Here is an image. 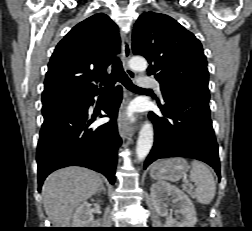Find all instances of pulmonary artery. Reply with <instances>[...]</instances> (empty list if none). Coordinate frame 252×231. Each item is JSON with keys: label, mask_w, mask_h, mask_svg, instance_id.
Segmentation results:
<instances>
[{"label": "pulmonary artery", "mask_w": 252, "mask_h": 231, "mask_svg": "<svg viewBox=\"0 0 252 231\" xmlns=\"http://www.w3.org/2000/svg\"><path fill=\"white\" fill-rule=\"evenodd\" d=\"M138 84L142 88H151L157 90L159 93H161V85L158 81L147 77V76H142L138 79Z\"/></svg>", "instance_id": "obj_1"}]
</instances>
